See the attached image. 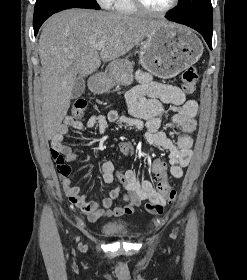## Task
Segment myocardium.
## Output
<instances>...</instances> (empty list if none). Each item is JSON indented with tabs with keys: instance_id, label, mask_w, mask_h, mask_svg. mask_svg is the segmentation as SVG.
<instances>
[{
	"instance_id": "f54148a6",
	"label": "myocardium",
	"mask_w": 247,
	"mask_h": 280,
	"mask_svg": "<svg viewBox=\"0 0 247 280\" xmlns=\"http://www.w3.org/2000/svg\"><path fill=\"white\" fill-rule=\"evenodd\" d=\"M137 10L152 16H164L172 12L179 4V0H172L171 4L162 10H153L147 7L142 0H132Z\"/></svg>"
}]
</instances>
